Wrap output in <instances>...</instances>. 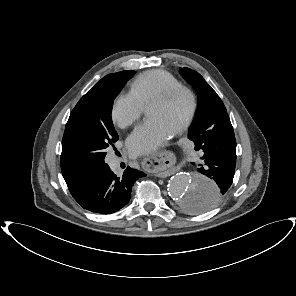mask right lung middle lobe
Wrapping results in <instances>:
<instances>
[{
    "mask_svg": "<svg viewBox=\"0 0 296 296\" xmlns=\"http://www.w3.org/2000/svg\"><path fill=\"white\" fill-rule=\"evenodd\" d=\"M133 74V71H122L105 76L73 109L62 139L64 179L74 178L105 163L108 147L118 140L111 119L113 101Z\"/></svg>",
    "mask_w": 296,
    "mask_h": 296,
    "instance_id": "obj_1",
    "label": "right lung middle lobe"
}]
</instances>
